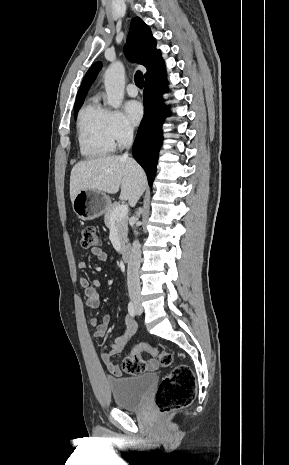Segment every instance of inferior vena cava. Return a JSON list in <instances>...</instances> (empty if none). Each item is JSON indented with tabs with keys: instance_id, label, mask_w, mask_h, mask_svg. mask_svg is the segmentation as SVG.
<instances>
[{
	"instance_id": "602c4592",
	"label": "inferior vena cava",
	"mask_w": 289,
	"mask_h": 465,
	"mask_svg": "<svg viewBox=\"0 0 289 465\" xmlns=\"http://www.w3.org/2000/svg\"><path fill=\"white\" fill-rule=\"evenodd\" d=\"M124 139L129 149L133 143V130L130 127H126L124 131ZM124 158H128V152L123 154ZM141 260L140 244L137 240L133 242L130 259L127 267V285L129 297L131 299H137L140 297V280H139V268Z\"/></svg>"
}]
</instances>
